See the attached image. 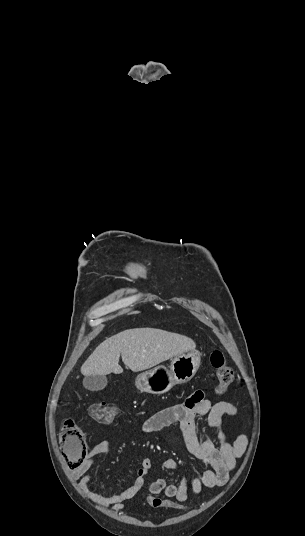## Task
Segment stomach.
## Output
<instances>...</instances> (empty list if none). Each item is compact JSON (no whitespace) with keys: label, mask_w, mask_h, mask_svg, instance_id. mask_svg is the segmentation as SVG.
Segmentation results:
<instances>
[{"label":"stomach","mask_w":305,"mask_h":536,"mask_svg":"<svg viewBox=\"0 0 305 536\" xmlns=\"http://www.w3.org/2000/svg\"><path fill=\"white\" fill-rule=\"evenodd\" d=\"M201 362L198 350L178 354L171 362L170 370L157 366L149 372L139 374L135 380L137 390L147 394H166L176 384H186L195 376Z\"/></svg>","instance_id":"1"}]
</instances>
